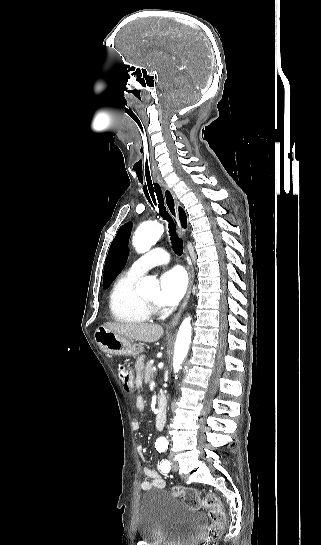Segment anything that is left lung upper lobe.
Returning a JSON list of instances; mask_svg holds the SVG:
<instances>
[{"label":"left lung upper lobe","instance_id":"obj_1","mask_svg":"<svg viewBox=\"0 0 321 545\" xmlns=\"http://www.w3.org/2000/svg\"><path fill=\"white\" fill-rule=\"evenodd\" d=\"M132 223L121 226L111 243L104 267L103 288H108L122 270L128 256V241Z\"/></svg>","mask_w":321,"mask_h":545}]
</instances>
